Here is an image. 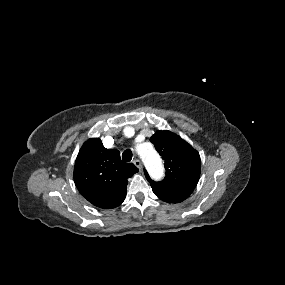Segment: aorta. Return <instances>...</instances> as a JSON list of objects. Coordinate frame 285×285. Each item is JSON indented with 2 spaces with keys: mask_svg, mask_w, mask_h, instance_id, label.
Returning a JSON list of instances; mask_svg holds the SVG:
<instances>
[{
  "mask_svg": "<svg viewBox=\"0 0 285 285\" xmlns=\"http://www.w3.org/2000/svg\"><path fill=\"white\" fill-rule=\"evenodd\" d=\"M137 151L143 160L150 176L154 180H160L164 175V168L158 153L148 143L141 144L138 147Z\"/></svg>",
  "mask_w": 285,
  "mask_h": 285,
  "instance_id": "aorta-1",
  "label": "aorta"
}]
</instances>
